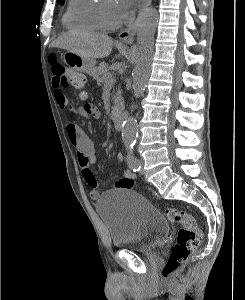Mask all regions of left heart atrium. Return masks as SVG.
Wrapping results in <instances>:
<instances>
[{
	"label": "left heart atrium",
	"instance_id": "obj_1",
	"mask_svg": "<svg viewBox=\"0 0 245 300\" xmlns=\"http://www.w3.org/2000/svg\"><path fill=\"white\" fill-rule=\"evenodd\" d=\"M141 0H120V7L118 8V14L120 19H125L129 16L133 8Z\"/></svg>",
	"mask_w": 245,
	"mask_h": 300
}]
</instances>
